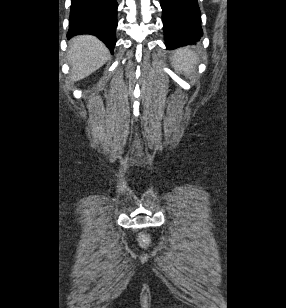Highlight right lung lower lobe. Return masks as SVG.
<instances>
[{
  "label": "right lung lower lobe",
  "instance_id": "98d812e1",
  "mask_svg": "<svg viewBox=\"0 0 286 308\" xmlns=\"http://www.w3.org/2000/svg\"><path fill=\"white\" fill-rule=\"evenodd\" d=\"M116 0H71L68 38L78 34L97 36L111 53L116 44Z\"/></svg>",
  "mask_w": 286,
  "mask_h": 308
}]
</instances>
